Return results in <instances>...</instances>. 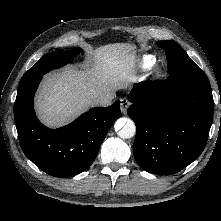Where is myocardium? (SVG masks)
<instances>
[{
  "mask_svg": "<svg viewBox=\"0 0 221 221\" xmlns=\"http://www.w3.org/2000/svg\"><path fill=\"white\" fill-rule=\"evenodd\" d=\"M159 75H160V73L158 72V73H157V76H159Z\"/></svg>",
  "mask_w": 221,
  "mask_h": 221,
  "instance_id": "myocardium-1",
  "label": "myocardium"
}]
</instances>
